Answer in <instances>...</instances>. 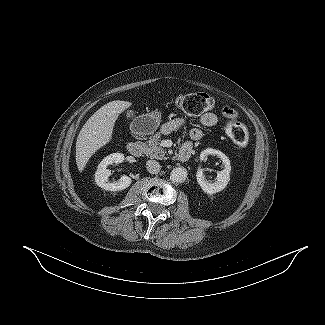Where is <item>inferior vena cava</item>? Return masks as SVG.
I'll use <instances>...</instances> for the list:
<instances>
[{
  "label": "inferior vena cava",
  "mask_w": 325,
  "mask_h": 325,
  "mask_svg": "<svg viewBox=\"0 0 325 325\" xmlns=\"http://www.w3.org/2000/svg\"><path fill=\"white\" fill-rule=\"evenodd\" d=\"M146 168L149 173L157 174L160 171L161 166L156 160H148L146 163Z\"/></svg>",
  "instance_id": "inferior-vena-cava-1"
}]
</instances>
